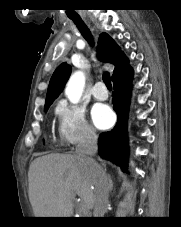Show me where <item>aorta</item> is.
<instances>
[{
  "label": "aorta",
  "instance_id": "1",
  "mask_svg": "<svg viewBox=\"0 0 181 227\" xmlns=\"http://www.w3.org/2000/svg\"><path fill=\"white\" fill-rule=\"evenodd\" d=\"M85 86V74L82 71L74 72L65 88V95L67 96L68 100L73 103L77 104L82 96V92Z\"/></svg>",
  "mask_w": 181,
  "mask_h": 227
}]
</instances>
